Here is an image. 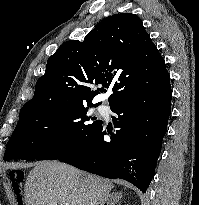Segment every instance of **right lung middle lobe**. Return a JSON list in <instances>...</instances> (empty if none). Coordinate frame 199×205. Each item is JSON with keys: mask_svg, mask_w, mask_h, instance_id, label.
Wrapping results in <instances>:
<instances>
[{"mask_svg": "<svg viewBox=\"0 0 199 205\" xmlns=\"http://www.w3.org/2000/svg\"><path fill=\"white\" fill-rule=\"evenodd\" d=\"M85 106L64 102L23 106L3 159L55 160L79 151L102 125L87 116L88 108L97 105Z\"/></svg>", "mask_w": 199, "mask_h": 205, "instance_id": "right-lung-middle-lobe-1", "label": "right lung middle lobe"}]
</instances>
